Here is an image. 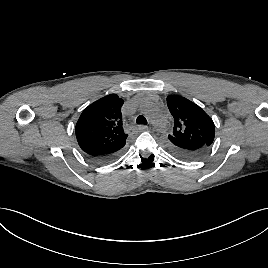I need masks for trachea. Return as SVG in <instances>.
<instances>
[{
  "instance_id": "trachea-1",
  "label": "trachea",
  "mask_w": 268,
  "mask_h": 268,
  "mask_svg": "<svg viewBox=\"0 0 268 268\" xmlns=\"http://www.w3.org/2000/svg\"><path fill=\"white\" fill-rule=\"evenodd\" d=\"M136 123L137 124L147 125V120H146V118L144 116L140 115V116L137 117Z\"/></svg>"
}]
</instances>
